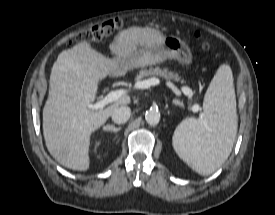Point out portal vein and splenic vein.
Listing matches in <instances>:
<instances>
[{
  "label": "portal vein and splenic vein",
  "mask_w": 275,
  "mask_h": 215,
  "mask_svg": "<svg viewBox=\"0 0 275 215\" xmlns=\"http://www.w3.org/2000/svg\"><path fill=\"white\" fill-rule=\"evenodd\" d=\"M157 84H159V80L157 78H150V79H147V80L137 83L136 88L147 89V88L157 85ZM181 90H182L183 94L186 95L189 99L192 98L193 92L190 88L182 87ZM126 92H127L126 89L110 91L104 98H102L95 104H90L88 106V108L91 110H100L101 111V110H103V108L106 105H108L114 101H117L119 98H121L123 95H125ZM190 110L193 112H198L200 110V107L198 104H193L190 106Z\"/></svg>",
  "instance_id": "portal-vein-and-splenic-vein-1"
}]
</instances>
